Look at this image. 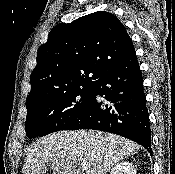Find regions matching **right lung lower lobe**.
<instances>
[{"mask_svg":"<svg viewBox=\"0 0 175 174\" xmlns=\"http://www.w3.org/2000/svg\"><path fill=\"white\" fill-rule=\"evenodd\" d=\"M97 96L104 100L100 101ZM95 129L131 139L151 153V130L136 53L108 69L87 108L62 130Z\"/></svg>","mask_w":175,"mask_h":174,"instance_id":"obj_1","label":"right lung lower lobe"}]
</instances>
